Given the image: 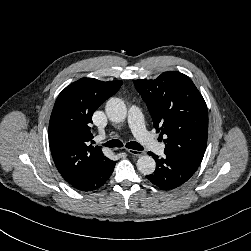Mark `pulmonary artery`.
I'll list each match as a JSON object with an SVG mask.
<instances>
[{"mask_svg":"<svg viewBox=\"0 0 251 251\" xmlns=\"http://www.w3.org/2000/svg\"><path fill=\"white\" fill-rule=\"evenodd\" d=\"M127 122L137 140L157 155H164L165 145L158 142L145 128L140 108L133 105L129 108Z\"/></svg>","mask_w":251,"mask_h":251,"instance_id":"obj_1","label":"pulmonary artery"}]
</instances>
